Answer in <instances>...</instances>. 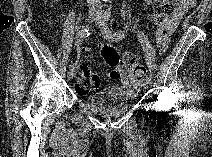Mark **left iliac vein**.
Listing matches in <instances>:
<instances>
[{"label": "left iliac vein", "instance_id": "4c4485c4", "mask_svg": "<svg viewBox=\"0 0 212 157\" xmlns=\"http://www.w3.org/2000/svg\"><path fill=\"white\" fill-rule=\"evenodd\" d=\"M95 23L97 25H99L100 27H102L103 24H104V20L101 17H99L98 20ZM141 87H142V89L146 90L148 88V85H147V83H145L144 81H142L141 82Z\"/></svg>", "mask_w": 212, "mask_h": 157}]
</instances>
